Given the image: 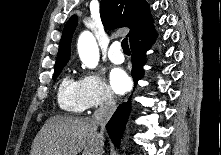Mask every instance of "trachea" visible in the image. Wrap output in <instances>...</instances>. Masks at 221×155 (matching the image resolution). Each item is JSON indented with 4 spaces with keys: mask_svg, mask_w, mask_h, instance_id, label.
<instances>
[{
    "mask_svg": "<svg viewBox=\"0 0 221 155\" xmlns=\"http://www.w3.org/2000/svg\"><path fill=\"white\" fill-rule=\"evenodd\" d=\"M121 46H122V49L125 53H130V48H129V45H128V39L127 38H124L122 40Z\"/></svg>",
    "mask_w": 221,
    "mask_h": 155,
    "instance_id": "1",
    "label": "trachea"
}]
</instances>
